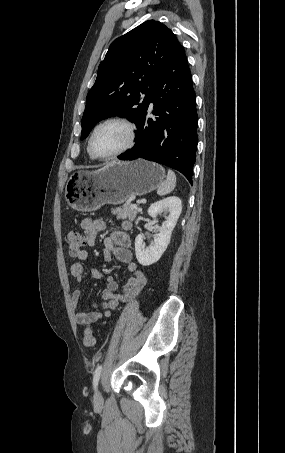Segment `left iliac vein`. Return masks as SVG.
Listing matches in <instances>:
<instances>
[{
  "label": "left iliac vein",
  "instance_id": "left-iliac-vein-1",
  "mask_svg": "<svg viewBox=\"0 0 285 453\" xmlns=\"http://www.w3.org/2000/svg\"><path fill=\"white\" fill-rule=\"evenodd\" d=\"M94 401L96 404H101L103 401L102 394L99 390H96L95 392Z\"/></svg>",
  "mask_w": 285,
  "mask_h": 453
}]
</instances>
